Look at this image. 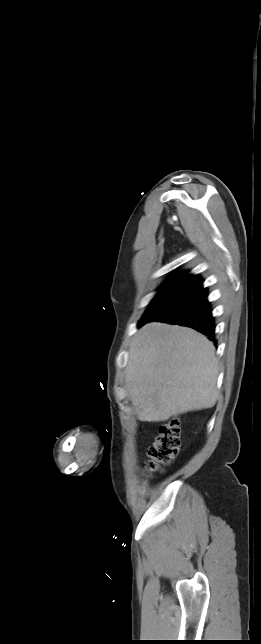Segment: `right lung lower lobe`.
Returning <instances> with one entry per match:
<instances>
[{"mask_svg": "<svg viewBox=\"0 0 261 644\" xmlns=\"http://www.w3.org/2000/svg\"><path fill=\"white\" fill-rule=\"evenodd\" d=\"M207 296V288H202L201 291L190 301L156 319V321L193 328L208 336V338L213 340L216 344L214 337V318L212 316V309L210 307V302L207 300ZM142 325L143 324L139 326Z\"/></svg>", "mask_w": 261, "mask_h": 644, "instance_id": "1", "label": "right lung lower lobe"}]
</instances>
